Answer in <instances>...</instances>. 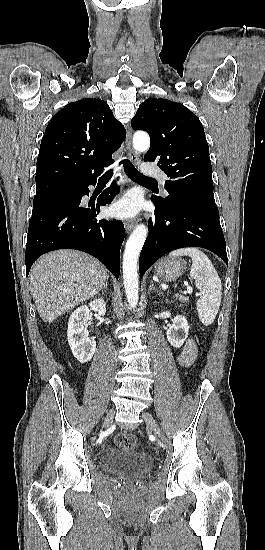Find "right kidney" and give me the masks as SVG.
Instances as JSON below:
<instances>
[{
    "label": "right kidney",
    "mask_w": 265,
    "mask_h": 550,
    "mask_svg": "<svg viewBox=\"0 0 265 550\" xmlns=\"http://www.w3.org/2000/svg\"><path fill=\"white\" fill-rule=\"evenodd\" d=\"M90 310L99 315H105L106 303L102 298L95 299L89 305L78 307L70 316L68 322L67 339L74 357L80 363L89 362L96 350V342L89 338L87 322Z\"/></svg>",
    "instance_id": "obj_1"
}]
</instances>
